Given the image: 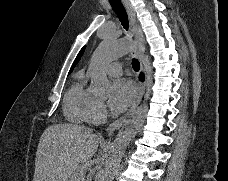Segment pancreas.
Wrapping results in <instances>:
<instances>
[{"mask_svg": "<svg viewBox=\"0 0 228 181\" xmlns=\"http://www.w3.org/2000/svg\"><path fill=\"white\" fill-rule=\"evenodd\" d=\"M86 169L77 167L69 177V181H85Z\"/></svg>", "mask_w": 228, "mask_h": 181, "instance_id": "obj_1", "label": "pancreas"}]
</instances>
